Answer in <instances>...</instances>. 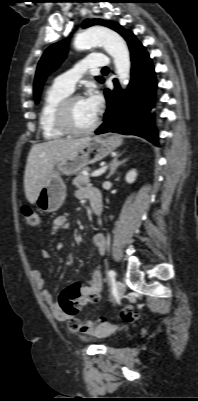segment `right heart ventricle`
Segmentation results:
<instances>
[{"label": "right heart ventricle", "mask_w": 198, "mask_h": 401, "mask_svg": "<svg viewBox=\"0 0 198 401\" xmlns=\"http://www.w3.org/2000/svg\"><path fill=\"white\" fill-rule=\"evenodd\" d=\"M70 93L56 84L45 92L39 113V127L46 140L60 139L66 135L58 128L55 114L59 103Z\"/></svg>", "instance_id": "1"}]
</instances>
